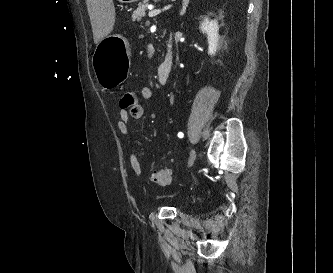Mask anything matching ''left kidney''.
<instances>
[{"instance_id":"obj_1","label":"left kidney","mask_w":333,"mask_h":273,"mask_svg":"<svg viewBox=\"0 0 333 273\" xmlns=\"http://www.w3.org/2000/svg\"><path fill=\"white\" fill-rule=\"evenodd\" d=\"M199 29L202 33L207 35L208 40V54L215 55L219 45V26L217 20H209L204 18L201 22Z\"/></svg>"}]
</instances>
